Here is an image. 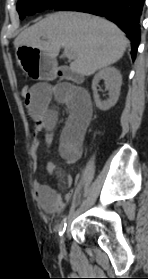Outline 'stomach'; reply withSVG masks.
Listing matches in <instances>:
<instances>
[{"instance_id": "obj_1", "label": "stomach", "mask_w": 148, "mask_h": 279, "mask_svg": "<svg viewBox=\"0 0 148 279\" xmlns=\"http://www.w3.org/2000/svg\"><path fill=\"white\" fill-rule=\"evenodd\" d=\"M27 48L30 50H15V59L20 66L21 75H25L28 82H58L56 61L42 50Z\"/></svg>"}]
</instances>
